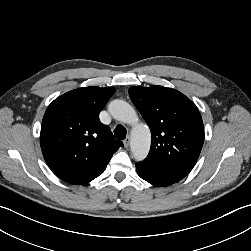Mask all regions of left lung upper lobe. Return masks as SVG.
<instances>
[{
    "label": "left lung upper lobe",
    "instance_id": "obj_1",
    "mask_svg": "<svg viewBox=\"0 0 251 251\" xmlns=\"http://www.w3.org/2000/svg\"><path fill=\"white\" fill-rule=\"evenodd\" d=\"M129 95L151 130V148L142 161L190 172L204 142L196 105L181 92L162 86L131 87Z\"/></svg>",
    "mask_w": 251,
    "mask_h": 251
}]
</instances>
